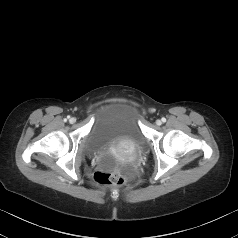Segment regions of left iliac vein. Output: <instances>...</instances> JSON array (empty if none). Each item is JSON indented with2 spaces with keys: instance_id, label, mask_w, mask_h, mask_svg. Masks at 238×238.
Segmentation results:
<instances>
[{
  "instance_id": "left-iliac-vein-1",
  "label": "left iliac vein",
  "mask_w": 238,
  "mask_h": 238,
  "mask_svg": "<svg viewBox=\"0 0 238 238\" xmlns=\"http://www.w3.org/2000/svg\"><path fill=\"white\" fill-rule=\"evenodd\" d=\"M156 124L161 125L162 124L161 120H156Z\"/></svg>"
}]
</instances>
